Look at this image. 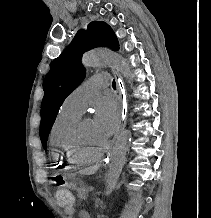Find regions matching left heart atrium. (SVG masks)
Here are the masks:
<instances>
[{
	"instance_id": "1",
	"label": "left heart atrium",
	"mask_w": 211,
	"mask_h": 218,
	"mask_svg": "<svg viewBox=\"0 0 211 218\" xmlns=\"http://www.w3.org/2000/svg\"><path fill=\"white\" fill-rule=\"evenodd\" d=\"M96 129L104 137L109 138L118 128L120 112L115 98L110 95H102L94 102Z\"/></svg>"
}]
</instances>
